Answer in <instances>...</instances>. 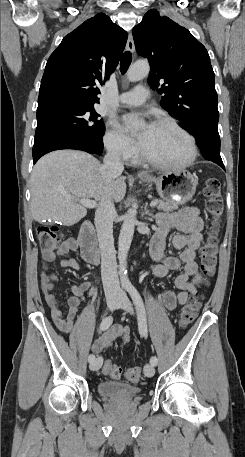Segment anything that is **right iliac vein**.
Here are the masks:
<instances>
[{"mask_svg": "<svg viewBox=\"0 0 245 457\" xmlns=\"http://www.w3.org/2000/svg\"><path fill=\"white\" fill-rule=\"evenodd\" d=\"M119 297H115V296H111L108 301H107V306L110 310H114L115 307L118 305L119 303ZM103 364V359L102 357H98L96 358L93 362L90 363V369L92 371H97L100 369V367L102 366Z\"/></svg>", "mask_w": 245, "mask_h": 457, "instance_id": "obj_1", "label": "right iliac vein"}]
</instances>
